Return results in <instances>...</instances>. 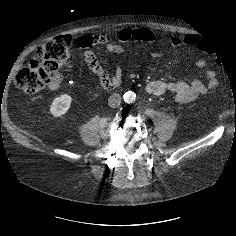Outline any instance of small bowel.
I'll use <instances>...</instances> for the list:
<instances>
[{
  "label": "small bowel",
  "instance_id": "obj_1",
  "mask_svg": "<svg viewBox=\"0 0 236 236\" xmlns=\"http://www.w3.org/2000/svg\"><path fill=\"white\" fill-rule=\"evenodd\" d=\"M68 39V38H67ZM157 37L148 29H130L124 28L120 30L114 37L103 32L97 35H83L76 39V44L80 48H90L96 46H105L109 53L120 55L122 53V47L120 43H126L129 41L138 42H153ZM163 41V39H159ZM169 43L173 47H179L184 45L189 46H201L202 40L197 34L190 33L185 36H174L169 39ZM155 57L164 55L163 51H156L153 54ZM84 61L87 63L92 72L99 78L101 85L105 89H112L120 85L122 81V70L116 65L115 71L110 76L104 68L100 65L96 55L87 50L83 54ZM197 68H204L207 62L203 59L196 62ZM218 84L217 75L214 71H208L200 79H193L190 81H161L153 80L145 84L144 89L147 93L158 95L165 92H171L174 95V99L178 103H188L198 97L207 94L210 90L214 89ZM60 80L58 82L51 83L49 85L50 91H56L59 88Z\"/></svg>",
  "mask_w": 236,
  "mask_h": 236
}]
</instances>
